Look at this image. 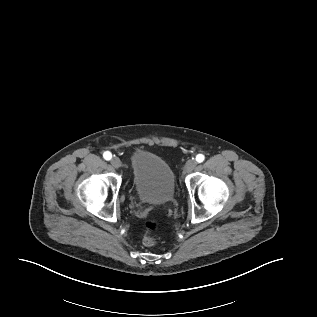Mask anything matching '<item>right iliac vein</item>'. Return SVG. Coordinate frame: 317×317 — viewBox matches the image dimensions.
Here are the masks:
<instances>
[{
	"instance_id": "obj_1",
	"label": "right iliac vein",
	"mask_w": 317,
	"mask_h": 317,
	"mask_svg": "<svg viewBox=\"0 0 317 317\" xmlns=\"http://www.w3.org/2000/svg\"><path fill=\"white\" fill-rule=\"evenodd\" d=\"M111 164H112V166H113L114 168H116V169H119V168L121 167V161H120V159L117 158V157H113V158L111 159Z\"/></svg>"
}]
</instances>
